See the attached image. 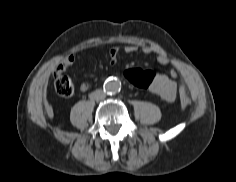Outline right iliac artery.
I'll list each match as a JSON object with an SVG mask.
<instances>
[{"label": "right iliac artery", "instance_id": "obj_1", "mask_svg": "<svg viewBox=\"0 0 236 182\" xmlns=\"http://www.w3.org/2000/svg\"><path fill=\"white\" fill-rule=\"evenodd\" d=\"M104 92H107V94H110V90H109V88L106 90L105 88H104Z\"/></svg>", "mask_w": 236, "mask_h": 182}]
</instances>
